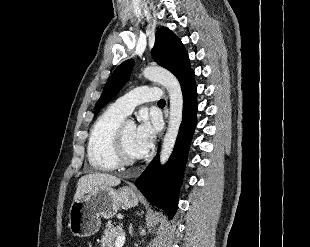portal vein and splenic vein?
<instances>
[{"mask_svg": "<svg viewBox=\"0 0 310 247\" xmlns=\"http://www.w3.org/2000/svg\"><path fill=\"white\" fill-rule=\"evenodd\" d=\"M125 242V233H121L115 241V247H122Z\"/></svg>", "mask_w": 310, "mask_h": 247, "instance_id": "portal-vein-and-splenic-vein-1", "label": "portal vein and splenic vein"}]
</instances>
